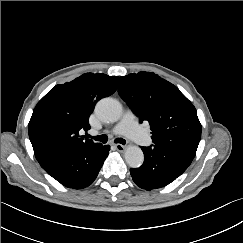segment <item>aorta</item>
<instances>
[{"instance_id": "762f6f07", "label": "aorta", "mask_w": 243, "mask_h": 243, "mask_svg": "<svg viewBox=\"0 0 243 243\" xmlns=\"http://www.w3.org/2000/svg\"><path fill=\"white\" fill-rule=\"evenodd\" d=\"M96 113L105 122H116L122 116V106L113 98H103L96 105ZM125 160L132 168L140 167L144 161L141 148L129 146L125 151Z\"/></svg>"}]
</instances>
